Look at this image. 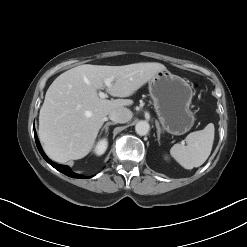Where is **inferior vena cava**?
Listing matches in <instances>:
<instances>
[{
	"mask_svg": "<svg viewBox=\"0 0 247 247\" xmlns=\"http://www.w3.org/2000/svg\"><path fill=\"white\" fill-rule=\"evenodd\" d=\"M109 118L115 123H126L132 118V113L125 107L116 108L109 112Z\"/></svg>",
	"mask_w": 247,
	"mask_h": 247,
	"instance_id": "inferior-vena-cava-1",
	"label": "inferior vena cava"
}]
</instances>
